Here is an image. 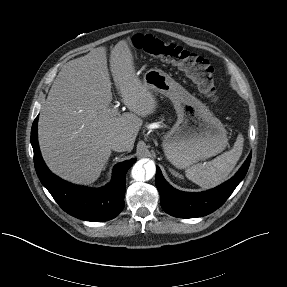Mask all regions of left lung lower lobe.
Returning <instances> with one entry per match:
<instances>
[{
  "label": "left lung lower lobe",
  "mask_w": 287,
  "mask_h": 287,
  "mask_svg": "<svg viewBox=\"0 0 287 287\" xmlns=\"http://www.w3.org/2000/svg\"><path fill=\"white\" fill-rule=\"evenodd\" d=\"M251 161V153L243 166L230 180L220 186L200 193H188L174 189L157 167L155 183L164 211L174 217L195 218L214 212L224 204L237 185L245 177Z\"/></svg>",
  "instance_id": "obj_1"
}]
</instances>
